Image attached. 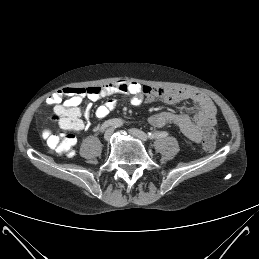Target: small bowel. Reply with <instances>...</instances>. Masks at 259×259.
<instances>
[{"label": "small bowel", "instance_id": "small-bowel-1", "mask_svg": "<svg viewBox=\"0 0 259 259\" xmlns=\"http://www.w3.org/2000/svg\"><path fill=\"white\" fill-rule=\"evenodd\" d=\"M114 94H122L128 97L134 107L152 103L156 100L168 104H176L185 100L193 101L197 104L198 109L192 118L182 113L162 111L150 116L149 123L157 128L169 124L174 125L186 138L195 143H200L205 138L206 129L215 124L216 107L206 95L181 88H152L130 80H118L101 86L85 88H63L52 93L46 99V103L54 105L55 112L60 113L65 120L73 121L72 126L69 127L70 130L81 132L88 126L82 119V115L88 119L91 113L90 104H87L83 110L81 109L83 100L88 99L90 102H94ZM64 98L66 99L63 100ZM117 105V99H107L96 108V117L99 119L105 118ZM48 134L49 131L43 133V138L46 141Z\"/></svg>", "mask_w": 259, "mask_h": 259}]
</instances>
